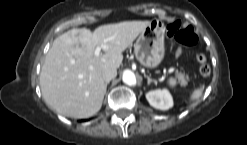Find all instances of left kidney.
I'll return each mask as SVG.
<instances>
[{
    "instance_id": "obj_1",
    "label": "left kidney",
    "mask_w": 247,
    "mask_h": 145,
    "mask_svg": "<svg viewBox=\"0 0 247 145\" xmlns=\"http://www.w3.org/2000/svg\"><path fill=\"white\" fill-rule=\"evenodd\" d=\"M149 104L160 110H168L173 107V98L168 90H153L146 94Z\"/></svg>"
}]
</instances>
